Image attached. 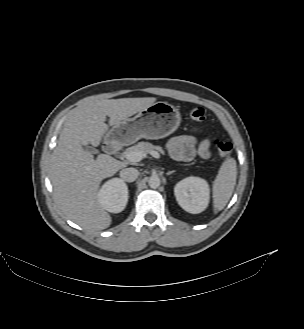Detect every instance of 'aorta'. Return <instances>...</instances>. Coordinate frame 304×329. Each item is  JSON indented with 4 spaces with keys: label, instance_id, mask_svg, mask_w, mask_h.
<instances>
[{
    "label": "aorta",
    "instance_id": "aorta-1",
    "mask_svg": "<svg viewBox=\"0 0 304 329\" xmlns=\"http://www.w3.org/2000/svg\"><path fill=\"white\" fill-rule=\"evenodd\" d=\"M148 185L153 189L158 188L160 186V178L157 175H152L148 179Z\"/></svg>",
    "mask_w": 304,
    "mask_h": 329
}]
</instances>
